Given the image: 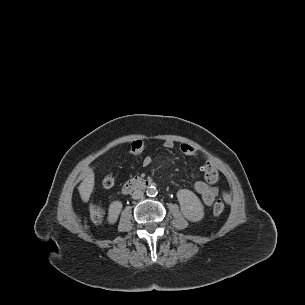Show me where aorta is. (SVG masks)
I'll return each instance as SVG.
<instances>
[{
    "mask_svg": "<svg viewBox=\"0 0 305 305\" xmlns=\"http://www.w3.org/2000/svg\"><path fill=\"white\" fill-rule=\"evenodd\" d=\"M146 193H147L148 196L154 197V196L157 195L158 191H157V188L155 186H149L146 189Z\"/></svg>",
    "mask_w": 305,
    "mask_h": 305,
    "instance_id": "1",
    "label": "aorta"
}]
</instances>
